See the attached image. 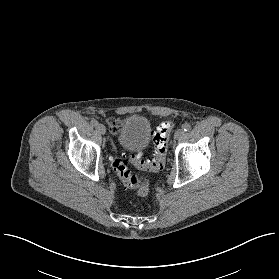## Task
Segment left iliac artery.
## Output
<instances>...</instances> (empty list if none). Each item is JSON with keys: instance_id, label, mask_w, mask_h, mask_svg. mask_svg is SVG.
Returning a JSON list of instances; mask_svg holds the SVG:
<instances>
[{"instance_id": "1", "label": "left iliac artery", "mask_w": 279, "mask_h": 279, "mask_svg": "<svg viewBox=\"0 0 279 279\" xmlns=\"http://www.w3.org/2000/svg\"><path fill=\"white\" fill-rule=\"evenodd\" d=\"M183 129H184V131H189L190 129H191V126H190V124H188V123H185L184 125H183Z\"/></svg>"}]
</instances>
